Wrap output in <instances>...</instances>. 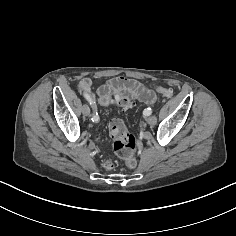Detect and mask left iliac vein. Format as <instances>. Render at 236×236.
Segmentation results:
<instances>
[{
  "mask_svg": "<svg viewBox=\"0 0 236 236\" xmlns=\"http://www.w3.org/2000/svg\"><path fill=\"white\" fill-rule=\"evenodd\" d=\"M147 122H148L149 125H152V126L155 125V124L157 123V118H156V116H150V117H148Z\"/></svg>",
  "mask_w": 236,
  "mask_h": 236,
  "instance_id": "left-iliac-vein-1",
  "label": "left iliac vein"
}]
</instances>
